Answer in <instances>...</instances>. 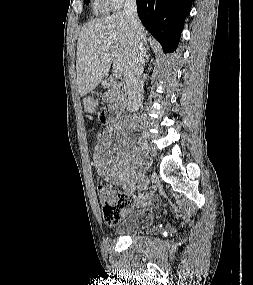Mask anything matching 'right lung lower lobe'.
Segmentation results:
<instances>
[{"label":"right lung lower lobe","instance_id":"98d812e1","mask_svg":"<svg viewBox=\"0 0 253 285\" xmlns=\"http://www.w3.org/2000/svg\"><path fill=\"white\" fill-rule=\"evenodd\" d=\"M191 3L192 0H137L141 22L160 42L163 51L176 50Z\"/></svg>","mask_w":253,"mask_h":285}]
</instances>
